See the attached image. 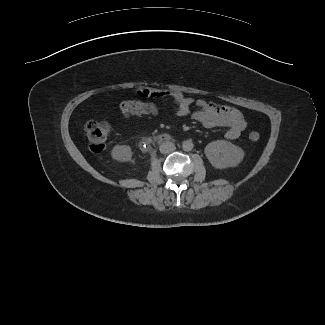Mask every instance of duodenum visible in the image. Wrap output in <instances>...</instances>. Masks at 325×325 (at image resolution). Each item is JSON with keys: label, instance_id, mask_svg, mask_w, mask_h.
<instances>
[{"label": "duodenum", "instance_id": "410a0bca", "mask_svg": "<svg viewBox=\"0 0 325 325\" xmlns=\"http://www.w3.org/2000/svg\"><path fill=\"white\" fill-rule=\"evenodd\" d=\"M159 142L167 143L171 141V136L168 134H161L157 137Z\"/></svg>", "mask_w": 325, "mask_h": 325}]
</instances>
